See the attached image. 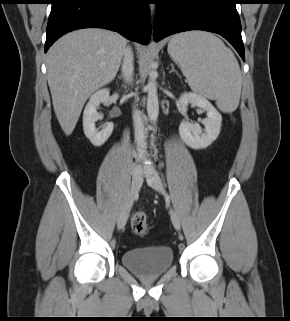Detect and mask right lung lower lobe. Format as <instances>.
I'll return each instance as SVG.
<instances>
[{
    "label": "right lung lower lobe",
    "instance_id": "98d812e1",
    "mask_svg": "<svg viewBox=\"0 0 290 321\" xmlns=\"http://www.w3.org/2000/svg\"><path fill=\"white\" fill-rule=\"evenodd\" d=\"M45 52L62 35L81 28H105L148 44V0H52Z\"/></svg>",
    "mask_w": 290,
    "mask_h": 321
}]
</instances>
